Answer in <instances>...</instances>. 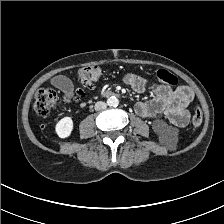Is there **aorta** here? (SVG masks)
Masks as SVG:
<instances>
[{
  "instance_id": "aorta-1",
  "label": "aorta",
  "mask_w": 224,
  "mask_h": 224,
  "mask_svg": "<svg viewBox=\"0 0 224 224\" xmlns=\"http://www.w3.org/2000/svg\"><path fill=\"white\" fill-rule=\"evenodd\" d=\"M107 103L109 106L111 107H117L118 104H119V100L116 98V97H110L108 100H107Z\"/></svg>"
}]
</instances>
